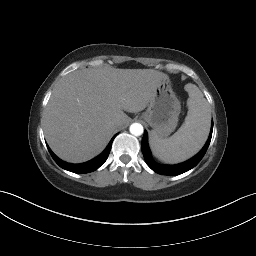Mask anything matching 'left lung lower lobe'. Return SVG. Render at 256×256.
I'll return each mask as SVG.
<instances>
[{
    "mask_svg": "<svg viewBox=\"0 0 256 256\" xmlns=\"http://www.w3.org/2000/svg\"><path fill=\"white\" fill-rule=\"evenodd\" d=\"M212 131H213V123H212L211 132L208 137V140H207L206 144L204 145V147L202 148V150L197 155H195L193 158H191L190 160H188L184 163L178 164V165H160V164L155 163L152 159L151 152H150V149L148 146L147 133L144 132L141 147H142V153L145 158V161H146L147 165L154 172H156L158 174L168 175V176L182 174V173L192 169L193 167H195L200 162V160L203 158V156L205 155V153L208 149V146L210 144L211 137H212Z\"/></svg>",
    "mask_w": 256,
    "mask_h": 256,
    "instance_id": "1",
    "label": "left lung lower lobe"
}]
</instances>
